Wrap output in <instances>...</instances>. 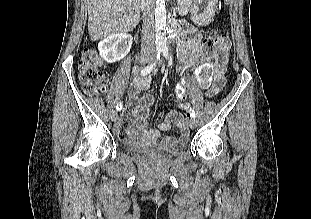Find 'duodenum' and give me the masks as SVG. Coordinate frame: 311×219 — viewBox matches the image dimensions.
Here are the masks:
<instances>
[{
  "label": "duodenum",
  "instance_id": "1",
  "mask_svg": "<svg viewBox=\"0 0 311 219\" xmlns=\"http://www.w3.org/2000/svg\"><path fill=\"white\" fill-rule=\"evenodd\" d=\"M169 28H170V36L172 40L176 38L177 32H182L185 29L184 25L178 24L176 22H171Z\"/></svg>",
  "mask_w": 311,
  "mask_h": 219
}]
</instances>
